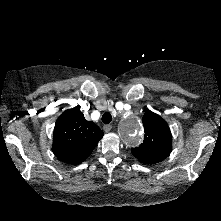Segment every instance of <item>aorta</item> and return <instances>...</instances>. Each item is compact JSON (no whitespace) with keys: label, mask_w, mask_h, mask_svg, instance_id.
Wrapping results in <instances>:
<instances>
[{"label":"aorta","mask_w":221,"mask_h":221,"mask_svg":"<svg viewBox=\"0 0 221 221\" xmlns=\"http://www.w3.org/2000/svg\"><path fill=\"white\" fill-rule=\"evenodd\" d=\"M143 127L137 119L125 120L119 130V134L124 143L128 146H136L143 139Z\"/></svg>","instance_id":"1"}]
</instances>
